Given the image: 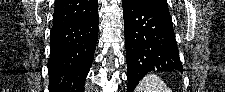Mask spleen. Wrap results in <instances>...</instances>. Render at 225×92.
<instances>
[{
  "mask_svg": "<svg viewBox=\"0 0 225 92\" xmlns=\"http://www.w3.org/2000/svg\"><path fill=\"white\" fill-rule=\"evenodd\" d=\"M135 92H171V90L157 75L148 74L139 82Z\"/></svg>",
  "mask_w": 225,
  "mask_h": 92,
  "instance_id": "spleen-1",
  "label": "spleen"
}]
</instances>
